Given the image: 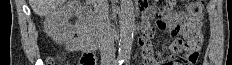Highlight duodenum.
<instances>
[{
    "label": "duodenum",
    "mask_w": 232,
    "mask_h": 65,
    "mask_svg": "<svg viewBox=\"0 0 232 65\" xmlns=\"http://www.w3.org/2000/svg\"><path fill=\"white\" fill-rule=\"evenodd\" d=\"M144 26V24H143ZM77 29L80 35L87 41L89 51L97 48V39L93 14L89 10H80Z\"/></svg>",
    "instance_id": "duodenum-1"
}]
</instances>
